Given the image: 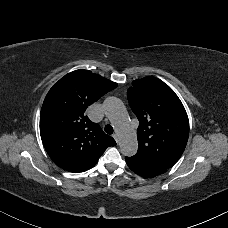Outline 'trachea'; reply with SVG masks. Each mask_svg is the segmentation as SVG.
<instances>
[{"instance_id": "obj_1", "label": "trachea", "mask_w": 228, "mask_h": 228, "mask_svg": "<svg viewBox=\"0 0 228 228\" xmlns=\"http://www.w3.org/2000/svg\"><path fill=\"white\" fill-rule=\"evenodd\" d=\"M113 127L111 126V125H106L105 126V132L107 133V134H109V135H111V134H113Z\"/></svg>"}]
</instances>
